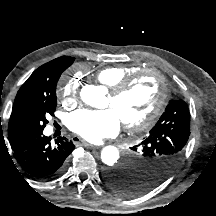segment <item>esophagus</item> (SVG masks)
Returning a JSON list of instances; mask_svg holds the SVG:
<instances>
[{"mask_svg":"<svg viewBox=\"0 0 216 216\" xmlns=\"http://www.w3.org/2000/svg\"><path fill=\"white\" fill-rule=\"evenodd\" d=\"M72 141L75 143V144H81V145H84V146H88V147H96L95 145L93 144H90L89 142L85 141L84 139H82L80 136L78 135H75L72 137Z\"/></svg>","mask_w":216,"mask_h":216,"instance_id":"34e87169","label":"esophagus"}]
</instances>
